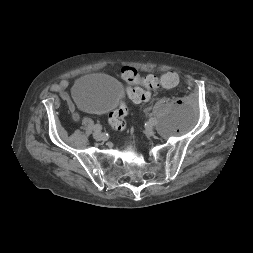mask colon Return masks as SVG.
Instances as JSON below:
<instances>
[{
	"label": "colon",
	"instance_id": "colon-1",
	"mask_svg": "<svg viewBox=\"0 0 253 253\" xmlns=\"http://www.w3.org/2000/svg\"><path fill=\"white\" fill-rule=\"evenodd\" d=\"M121 77L127 83L128 97L136 103L148 101L151 97V89L157 87L173 88L179 82V76L175 72H166L159 77L154 75L142 77L132 67L123 68ZM133 85H142L143 87H134ZM126 115L127 106L122 102L109 116L111 126L115 130H123L126 124Z\"/></svg>",
	"mask_w": 253,
	"mask_h": 253
}]
</instances>
